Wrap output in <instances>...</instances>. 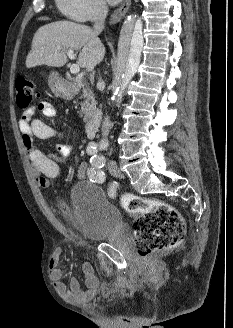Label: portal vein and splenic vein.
<instances>
[{
	"label": "portal vein and splenic vein",
	"instance_id": "1",
	"mask_svg": "<svg viewBox=\"0 0 233 328\" xmlns=\"http://www.w3.org/2000/svg\"><path fill=\"white\" fill-rule=\"evenodd\" d=\"M57 48H61L60 45H57ZM67 55L70 59H74L75 58V54H74V51L72 49H67ZM70 72L72 74H79L80 73V66L77 65V64H73L71 67H70Z\"/></svg>",
	"mask_w": 233,
	"mask_h": 328
}]
</instances>
